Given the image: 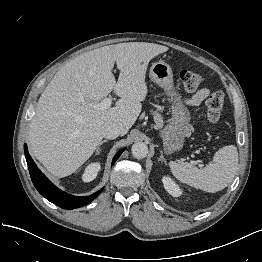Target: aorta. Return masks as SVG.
I'll list each match as a JSON object with an SVG mask.
<instances>
[{"label": "aorta", "instance_id": "762f6f07", "mask_svg": "<svg viewBox=\"0 0 262 262\" xmlns=\"http://www.w3.org/2000/svg\"><path fill=\"white\" fill-rule=\"evenodd\" d=\"M131 152L136 159H143L148 154V146L143 142H136L132 145Z\"/></svg>", "mask_w": 262, "mask_h": 262}]
</instances>
